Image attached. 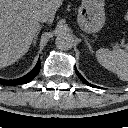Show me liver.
I'll return each mask as SVG.
<instances>
[{
    "label": "liver",
    "mask_w": 128,
    "mask_h": 128,
    "mask_svg": "<svg viewBox=\"0 0 128 128\" xmlns=\"http://www.w3.org/2000/svg\"><path fill=\"white\" fill-rule=\"evenodd\" d=\"M63 0H0V68L9 66L28 51L40 25L37 16L54 20Z\"/></svg>",
    "instance_id": "obj_1"
}]
</instances>
